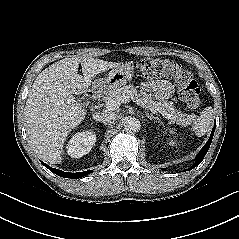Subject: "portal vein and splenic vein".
<instances>
[{
    "instance_id": "portal-vein-and-splenic-vein-1",
    "label": "portal vein and splenic vein",
    "mask_w": 239,
    "mask_h": 239,
    "mask_svg": "<svg viewBox=\"0 0 239 239\" xmlns=\"http://www.w3.org/2000/svg\"><path fill=\"white\" fill-rule=\"evenodd\" d=\"M129 101V98L128 97H123L122 99H118V100H110L106 103V108L108 110H116L119 108L120 104L121 103H127ZM151 111H158L159 113H161L165 118L167 119H173V116L165 111H162L161 109H149Z\"/></svg>"
}]
</instances>
